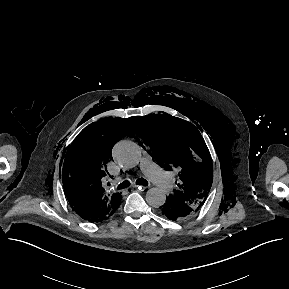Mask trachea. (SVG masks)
Segmentation results:
<instances>
[{
	"instance_id": "obj_1",
	"label": "trachea",
	"mask_w": 289,
	"mask_h": 289,
	"mask_svg": "<svg viewBox=\"0 0 289 289\" xmlns=\"http://www.w3.org/2000/svg\"><path fill=\"white\" fill-rule=\"evenodd\" d=\"M136 184L137 185H142V186H147L148 182L144 179V178H139L136 180ZM130 186V182L128 180L123 181L121 184L118 185V189H125L128 188Z\"/></svg>"
}]
</instances>
